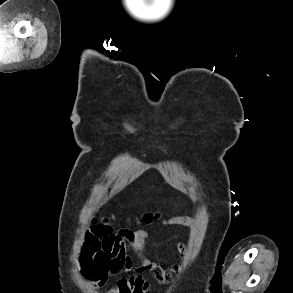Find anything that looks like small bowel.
Here are the masks:
<instances>
[{
    "mask_svg": "<svg viewBox=\"0 0 293 293\" xmlns=\"http://www.w3.org/2000/svg\"><path fill=\"white\" fill-rule=\"evenodd\" d=\"M171 225L191 227L188 221L174 218L162 222L159 228ZM155 230L121 229L113 232L110 228H93L81 243L78 257L80 271L87 277L86 283L101 287L110 276H117L118 280L109 293H146L149 282L140 273L130 274L133 264L127 244L139 259V271H150L153 279L160 284L169 282L181 267L178 264L165 267L149 258L147 243ZM173 246L181 257L186 256L183 243L175 242ZM122 273L124 275L120 276Z\"/></svg>",
    "mask_w": 293,
    "mask_h": 293,
    "instance_id": "c3829d8e",
    "label": "small bowel"
}]
</instances>
